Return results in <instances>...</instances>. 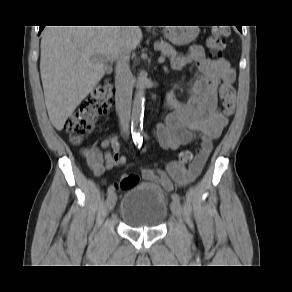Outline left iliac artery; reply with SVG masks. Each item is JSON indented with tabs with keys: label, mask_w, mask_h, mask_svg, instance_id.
<instances>
[{
	"label": "left iliac artery",
	"mask_w": 292,
	"mask_h": 292,
	"mask_svg": "<svg viewBox=\"0 0 292 292\" xmlns=\"http://www.w3.org/2000/svg\"><path fill=\"white\" fill-rule=\"evenodd\" d=\"M172 200L173 201H177L178 203H180V197H179V195L178 194H172Z\"/></svg>",
	"instance_id": "obj_1"
}]
</instances>
